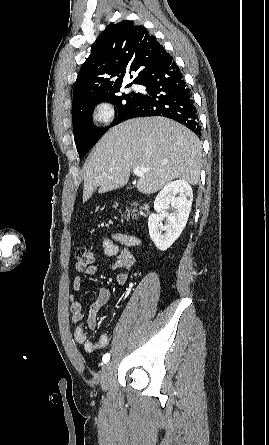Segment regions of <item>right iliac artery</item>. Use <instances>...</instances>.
Masks as SVG:
<instances>
[{
  "instance_id": "obj_1",
  "label": "right iliac artery",
  "mask_w": 269,
  "mask_h": 445,
  "mask_svg": "<svg viewBox=\"0 0 269 445\" xmlns=\"http://www.w3.org/2000/svg\"><path fill=\"white\" fill-rule=\"evenodd\" d=\"M109 359H110V354H109V353H106V354L103 356V362H104V363H107V362L109 361Z\"/></svg>"
}]
</instances>
